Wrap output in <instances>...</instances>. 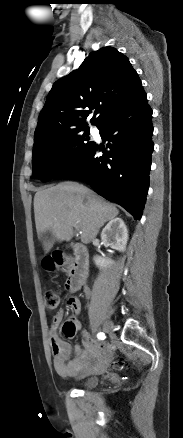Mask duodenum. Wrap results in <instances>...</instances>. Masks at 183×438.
<instances>
[{
	"mask_svg": "<svg viewBox=\"0 0 183 438\" xmlns=\"http://www.w3.org/2000/svg\"><path fill=\"white\" fill-rule=\"evenodd\" d=\"M75 261L69 271L66 287L70 292L78 291L84 284L89 270V254L82 244L73 245Z\"/></svg>",
	"mask_w": 183,
	"mask_h": 438,
	"instance_id": "1",
	"label": "duodenum"
}]
</instances>
